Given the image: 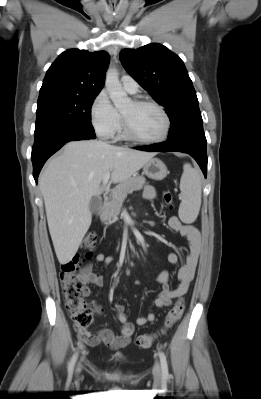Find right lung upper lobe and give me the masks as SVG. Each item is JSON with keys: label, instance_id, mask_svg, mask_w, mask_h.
Wrapping results in <instances>:
<instances>
[{"label": "right lung upper lobe", "instance_id": "right-lung-upper-lobe-1", "mask_svg": "<svg viewBox=\"0 0 261 399\" xmlns=\"http://www.w3.org/2000/svg\"><path fill=\"white\" fill-rule=\"evenodd\" d=\"M109 56L105 51L70 49L48 69L39 97L52 94L98 95L104 86Z\"/></svg>", "mask_w": 261, "mask_h": 399}]
</instances>
